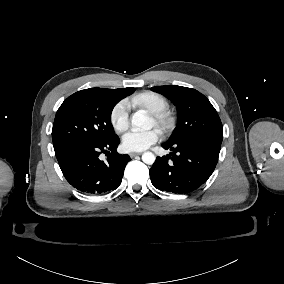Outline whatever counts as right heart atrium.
Segmentation results:
<instances>
[{"label":"right heart atrium","mask_w":284,"mask_h":284,"mask_svg":"<svg viewBox=\"0 0 284 284\" xmlns=\"http://www.w3.org/2000/svg\"><path fill=\"white\" fill-rule=\"evenodd\" d=\"M130 109V101L122 99L117 102L110 114V123L114 130L123 131L128 125V113Z\"/></svg>","instance_id":"right-heart-atrium-1"}]
</instances>
